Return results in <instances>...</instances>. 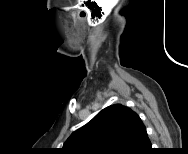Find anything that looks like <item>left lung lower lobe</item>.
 Masks as SVG:
<instances>
[{
  "mask_svg": "<svg viewBox=\"0 0 188 154\" xmlns=\"http://www.w3.org/2000/svg\"><path fill=\"white\" fill-rule=\"evenodd\" d=\"M151 142L148 138L146 128L140 117L135 113L130 139L127 145L126 154H149Z\"/></svg>",
  "mask_w": 188,
  "mask_h": 154,
  "instance_id": "0a47b994",
  "label": "left lung lower lobe"
}]
</instances>
